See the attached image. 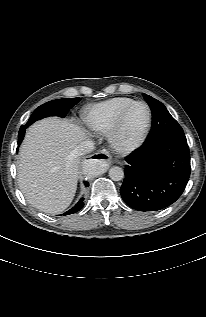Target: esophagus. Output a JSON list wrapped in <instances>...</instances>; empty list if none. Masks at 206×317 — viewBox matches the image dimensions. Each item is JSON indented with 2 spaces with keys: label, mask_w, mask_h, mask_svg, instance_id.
<instances>
[{
  "label": "esophagus",
  "mask_w": 206,
  "mask_h": 317,
  "mask_svg": "<svg viewBox=\"0 0 206 317\" xmlns=\"http://www.w3.org/2000/svg\"><path fill=\"white\" fill-rule=\"evenodd\" d=\"M92 160H95L106 167L109 166L112 162L111 156H110L109 152L106 150H103L101 152L96 153L94 155V159H92Z\"/></svg>",
  "instance_id": "1"
}]
</instances>
